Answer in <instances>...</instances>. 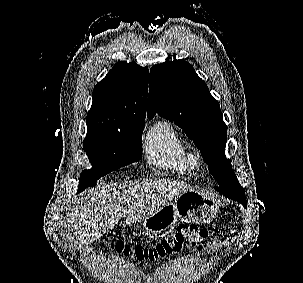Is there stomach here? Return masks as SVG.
Masks as SVG:
<instances>
[{
    "mask_svg": "<svg viewBox=\"0 0 303 283\" xmlns=\"http://www.w3.org/2000/svg\"><path fill=\"white\" fill-rule=\"evenodd\" d=\"M218 209V203L213 197L190 190L144 219L142 225L147 236L157 237L170 230L178 220L208 223L215 218Z\"/></svg>",
    "mask_w": 303,
    "mask_h": 283,
    "instance_id": "0dacf381",
    "label": "stomach"
}]
</instances>
